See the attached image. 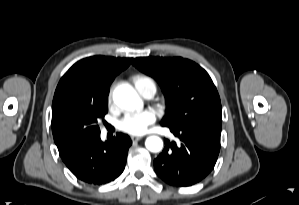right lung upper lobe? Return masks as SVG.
I'll return each instance as SVG.
<instances>
[{
	"instance_id": "right-lung-upper-lobe-1",
	"label": "right lung upper lobe",
	"mask_w": 299,
	"mask_h": 205,
	"mask_svg": "<svg viewBox=\"0 0 299 205\" xmlns=\"http://www.w3.org/2000/svg\"><path fill=\"white\" fill-rule=\"evenodd\" d=\"M132 58L92 56L75 63L61 78L52 103V122L59 110L70 103L107 98L115 76L126 69Z\"/></svg>"
}]
</instances>
